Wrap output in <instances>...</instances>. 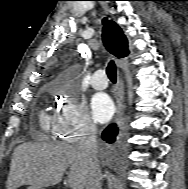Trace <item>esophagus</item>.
Returning <instances> with one entry per match:
<instances>
[{"label": "esophagus", "instance_id": "1", "mask_svg": "<svg viewBox=\"0 0 188 189\" xmlns=\"http://www.w3.org/2000/svg\"><path fill=\"white\" fill-rule=\"evenodd\" d=\"M120 92L121 91L119 89L118 92H117V96H116V114H115L114 121L117 122V123L120 122L122 115H123Z\"/></svg>", "mask_w": 188, "mask_h": 189}]
</instances>
